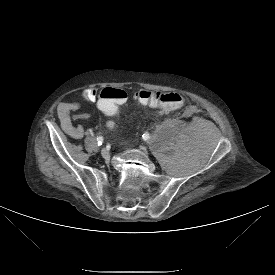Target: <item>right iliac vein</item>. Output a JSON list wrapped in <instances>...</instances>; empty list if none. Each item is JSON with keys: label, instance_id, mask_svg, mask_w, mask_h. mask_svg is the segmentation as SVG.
<instances>
[{"label": "right iliac vein", "instance_id": "right-iliac-vein-1", "mask_svg": "<svg viewBox=\"0 0 275 275\" xmlns=\"http://www.w3.org/2000/svg\"><path fill=\"white\" fill-rule=\"evenodd\" d=\"M101 155L106 158L109 156V151L107 149H102L101 150Z\"/></svg>", "mask_w": 275, "mask_h": 275}]
</instances>
